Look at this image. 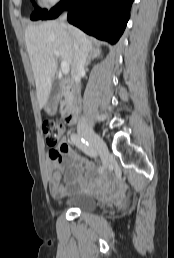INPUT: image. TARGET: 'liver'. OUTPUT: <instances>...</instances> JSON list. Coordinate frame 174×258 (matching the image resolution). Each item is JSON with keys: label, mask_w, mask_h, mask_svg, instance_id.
<instances>
[{"label": "liver", "mask_w": 174, "mask_h": 258, "mask_svg": "<svg viewBox=\"0 0 174 258\" xmlns=\"http://www.w3.org/2000/svg\"><path fill=\"white\" fill-rule=\"evenodd\" d=\"M25 42L36 83L39 107L48 100L57 71L58 51L63 61L72 69L75 44L87 55L92 43L87 35L76 27L58 21L30 25L25 30Z\"/></svg>", "instance_id": "liver-1"}]
</instances>
